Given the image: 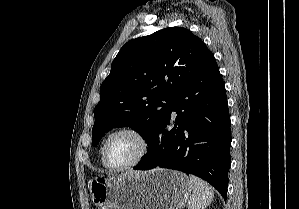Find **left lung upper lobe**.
<instances>
[{"instance_id":"obj_1","label":"left lung upper lobe","mask_w":299,"mask_h":209,"mask_svg":"<svg viewBox=\"0 0 299 209\" xmlns=\"http://www.w3.org/2000/svg\"><path fill=\"white\" fill-rule=\"evenodd\" d=\"M213 58L203 41L170 27L127 42L112 62L94 109L92 145L114 127L130 126L149 144L170 100Z\"/></svg>"}]
</instances>
